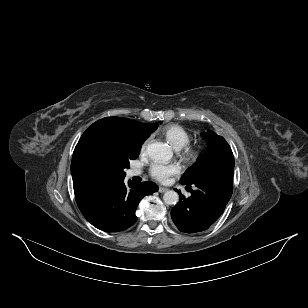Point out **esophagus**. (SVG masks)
Returning a JSON list of instances; mask_svg holds the SVG:
<instances>
[{
	"instance_id": "34e87169",
	"label": "esophagus",
	"mask_w": 308,
	"mask_h": 308,
	"mask_svg": "<svg viewBox=\"0 0 308 308\" xmlns=\"http://www.w3.org/2000/svg\"><path fill=\"white\" fill-rule=\"evenodd\" d=\"M168 189L167 188H165V187H159V189H158V191L160 192V193H164V192H166Z\"/></svg>"
}]
</instances>
